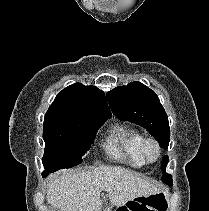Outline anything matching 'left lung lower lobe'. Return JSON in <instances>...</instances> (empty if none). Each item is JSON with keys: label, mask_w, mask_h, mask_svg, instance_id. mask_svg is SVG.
<instances>
[{"label": "left lung lower lobe", "mask_w": 209, "mask_h": 211, "mask_svg": "<svg viewBox=\"0 0 209 211\" xmlns=\"http://www.w3.org/2000/svg\"><path fill=\"white\" fill-rule=\"evenodd\" d=\"M167 185L172 186V179L170 180H163Z\"/></svg>", "instance_id": "1"}]
</instances>
